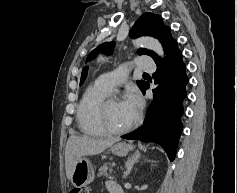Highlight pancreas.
<instances>
[{
  "label": "pancreas",
  "mask_w": 237,
  "mask_h": 193,
  "mask_svg": "<svg viewBox=\"0 0 237 193\" xmlns=\"http://www.w3.org/2000/svg\"><path fill=\"white\" fill-rule=\"evenodd\" d=\"M108 172L111 173L112 172V167L109 166L108 164H104L103 166H101L99 168V173H98V177L101 176H107Z\"/></svg>",
  "instance_id": "obj_1"
}]
</instances>
